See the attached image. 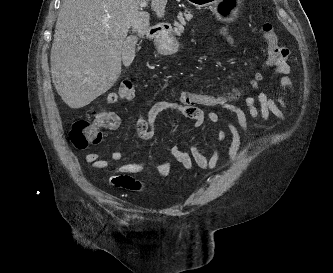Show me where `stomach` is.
<instances>
[{"label":"stomach","mask_w":333,"mask_h":273,"mask_svg":"<svg viewBox=\"0 0 333 273\" xmlns=\"http://www.w3.org/2000/svg\"><path fill=\"white\" fill-rule=\"evenodd\" d=\"M190 4L202 8L211 7L214 12V19H225L230 28H241L245 18L243 12H234L231 4H242L243 0H187ZM157 50L162 54H173L179 49L180 43L173 34L170 27L162 28L155 37Z\"/></svg>","instance_id":"0dacf381"}]
</instances>
